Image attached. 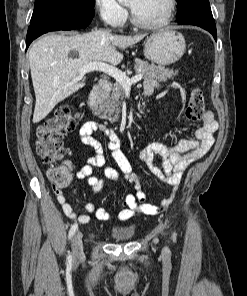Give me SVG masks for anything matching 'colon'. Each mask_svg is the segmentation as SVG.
<instances>
[{
	"label": "colon",
	"mask_w": 247,
	"mask_h": 296,
	"mask_svg": "<svg viewBox=\"0 0 247 296\" xmlns=\"http://www.w3.org/2000/svg\"><path fill=\"white\" fill-rule=\"evenodd\" d=\"M205 111V99L202 90L195 86L185 109L188 122L202 118ZM79 115L69 106L56 109L36 130V152L41 160L49 165L47 175L55 187L63 188L72 181L71 168L67 164H57L65 156L67 149L63 142L66 133L75 129Z\"/></svg>",
	"instance_id": "obj_1"
}]
</instances>
